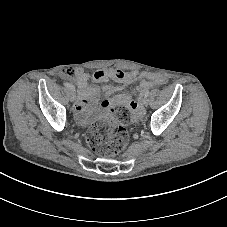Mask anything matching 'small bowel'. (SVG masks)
I'll list each match as a JSON object with an SVG mask.
<instances>
[{
  "label": "small bowel",
  "instance_id": "obj_1",
  "mask_svg": "<svg viewBox=\"0 0 227 227\" xmlns=\"http://www.w3.org/2000/svg\"><path fill=\"white\" fill-rule=\"evenodd\" d=\"M138 78L136 71L124 72L117 68H106L93 72L91 75L84 73L82 70H76L74 79L77 83L79 98L74 107L75 118L78 123L86 124L89 120V110L92 105L97 102L100 95V88L96 85H88V80L92 79L95 82H106L114 80L123 84H130ZM165 82V78L160 75H151L143 80L137 88L139 95H142L148 88L155 85H160ZM104 92L111 94L114 92L112 87H105ZM117 104L128 105L135 113H140L141 109L137 102L131 96L120 94L113 99H105L101 106L104 109H110Z\"/></svg>",
  "mask_w": 227,
  "mask_h": 227
}]
</instances>
